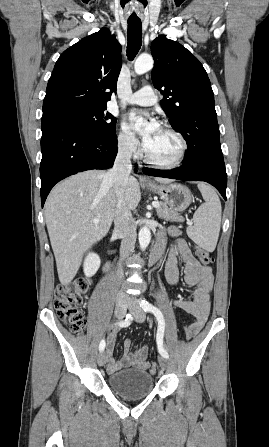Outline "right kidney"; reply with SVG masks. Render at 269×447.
I'll list each match as a JSON object with an SVG mask.
<instances>
[{
    "label": "right kidney",
    "mask_w": 269,
    "mask_h": 447,
    "mask_svg": "<svg viewBox=\"0 0 269 447\" xmlns=\"http://www.w3.org/2000/svg\"><path fill=\"white\" fill-rule=\"evenodd\" d=\"M100 257L98 253H88L85 257V261L83 263V269L86 277H92L94 273H96L97 269L100 267Z\"/></svg>",
    "instance_id": "obj_1"
}]
</instances>
